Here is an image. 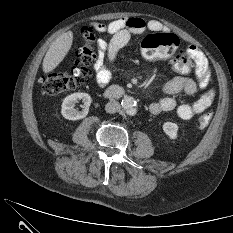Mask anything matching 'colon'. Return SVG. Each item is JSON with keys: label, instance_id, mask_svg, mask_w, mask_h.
<instances>
[{"label": "colon", "instance_id": "5ec220e1", "mask_svg": "<svg viewBox=\"0 0 233 233\" xmlns=\"http://www.w3.org/2000/svg\"><path fill=\"white\" fill-rule=\"evenodd\" d=\"M84 37L85 43L79 49L77 63L70 72H51L40 79V86L45 94L56 95L75 90L87 81L89 65L94 59L93 28H85ZM141 47L146 59H166L172 69L180 74H189L194 69L193 61L187 52L179 50V39L174 34L152 33L144 38ZM211 119L212 113H203L196 120V125L204 128Z\"/></svg>", "mask_w": 233, "mask_h": 233}]
</instances>
